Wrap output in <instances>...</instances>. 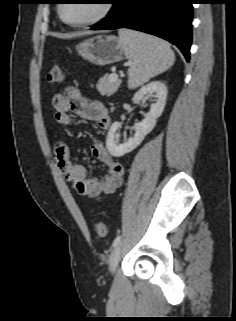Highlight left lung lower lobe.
<instances>
[{
  "label": "left lung lower lobe",
  "instance_id": "obj_1",
  "mask_svg": "<svg viewBox=\"0 0 236 321\" xmlns=\"http://www.w3.org/2000/svg\"><path fill=\"white\" fill-rule=\"evenodd\" d=\"M196 0H115L106 18L93 30L129 28L176 45L186 61L192 42V4Z\"/></svg>",
  "mask_w": 236,
  "mask_h": 321
}]
</instances>
